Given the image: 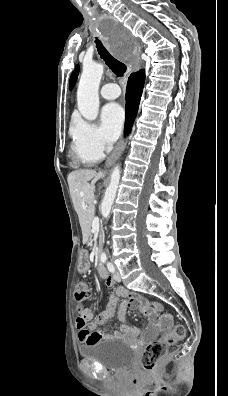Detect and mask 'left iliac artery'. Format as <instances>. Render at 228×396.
<instances>
[{"label": "left iliac artery", "instance_id": "left-iliac-artery-1", "mask_svg": "<svg viewBox=\"0 0 228 396\" xmlns=\"http://www.w3.org/2000/svg\"><path fill=\"white\" fill-rule=\"evenodd\" d=\"M107 268H108V270H109L110 272H114V267H113V265H112L111 263H108V264H107Z\"/></svg>", "mask_w": 228, "mask_h": 396}]
</instances>
